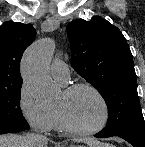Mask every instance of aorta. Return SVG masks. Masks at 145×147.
Listing matches in <instances>:
<instances>
[{"instance_id":"obj_1","label":"aorta","mask_w":145,"mask_h":147,"mask_svg":"<svg viewBox=\"0 0 145 147\" xmlns=\"http://www.w3.org/2000/svg\"><path fill=\"white\" fill-rule=\"evenodd\" d=\"M53 52V40L45 38L32 44L22 58L24 82L33 91L38 104L52 100L57 93L49 72Z\"/></svg>"}]
</instances>
